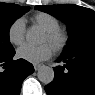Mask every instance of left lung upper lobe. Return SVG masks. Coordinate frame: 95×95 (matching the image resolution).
<instances>
[{
  "label": "left lung upper lobe",
  "mask_w": 95,
  "mask_h": 95,
  "mask_svg": "<svg viewBox=\"0 0 95 95\" xmlns=\"http://www.w3.org/2000/svg\"><path fill=\"white\" fill-rule=\"evenodd\" d=\"M36 9L66 23L69 40L62 54L70 55L84 50H95V12L93 10L73 4L36 6Z\"/></svg>",
  "instance_id": "1"
}]
</instances>
